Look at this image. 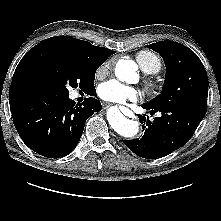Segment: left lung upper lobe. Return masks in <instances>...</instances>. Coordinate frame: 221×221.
Wrapping results in <instances>:
<instances>
[{
  "label": "left lung upper lobe",
  "mask_w": 221,
  "mask_h": 221,
  "mask_svg": "<svg viewBox=\"0 0 221 221\" xmlns=\"http://www.w3.org/2000/svg\"><path fill=\"white\" fill-rule=\"evenodd\" d=\"M164 59L166 77L161 94L147 104L163 109L175 104L207 107L208 77L199 57L188 47L173 41L147 46Z\"/></svg>",
  "instance_id": "1"
}]
</instances>
